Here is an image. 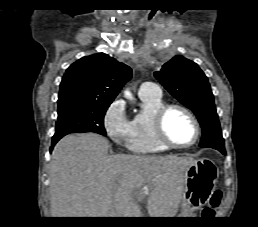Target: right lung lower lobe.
Instances as JSON below:
<instances>
[{
  "mask_svg": "<svg viewBox=\"0 0 258 227\" xmlns=\"http://www.w3.org/2000/svg\"><path fill=\"white\" fill-rule=\"evenodd\" d=\"M63 136H65L64 134L62 133H55V135L53 136L52 138V145H51V148H50V151H52L54 145L58 142V140H60Z\"/></svg>",
  "mask_w": 258,
  "mask_h": 227,
  "instance_id": "obj_1",
  "label": "right lung lower lobe"
}]
</instances>
